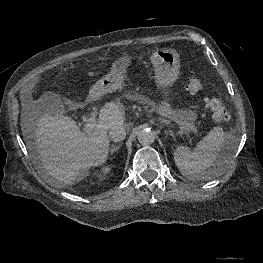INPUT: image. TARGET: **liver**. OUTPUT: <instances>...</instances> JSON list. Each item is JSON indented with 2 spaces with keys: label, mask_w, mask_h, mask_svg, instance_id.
<instances>
[{
  "label": "liver",
  "mask_w": 263,
  "mask_h": 263,
  "mask_svg": "<svg viewBox=\"0 0 263 263\" xmlns=\"http://www.w3.org/2000/svg\"><path fill=\"white\" fill-rule=\"evenodd\" d=\"M67 104L74 107L70 100ZM22 106L23 134L34 129L40 168L56 186L73 185L87 170L105 163L109 154L108 130L122 126L125 120L123 106L106 103L100 110L97 126L91 132H82L68 116L41 114L29 96Z\"/></svg>",
  "instance_id": "1"
}]
</instances>
